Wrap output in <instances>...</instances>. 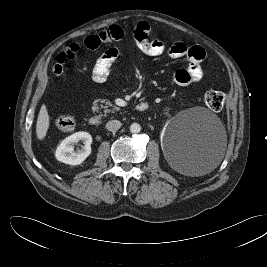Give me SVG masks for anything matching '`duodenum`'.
Returning <instances> with one entry per match:
<instances>
[{
    "label": "duodenum",
    "instance_id": "1",
    "mask_svg": "<svg viewBox=\"0 0 267 267\" xmlns=\"http://www.w3.org/2000/svg\"><path fill=\"white\" fill-rule=\"evenodd\" d=\"M149 108V104L145 101L139 102L136 105L137 111H146ZM89 124L92 126H98L101 123V119L98 116H92L88 120Z\"/></svg>",
    "mask_w": 267,
    "mask_h": 267
}]
</instances>
